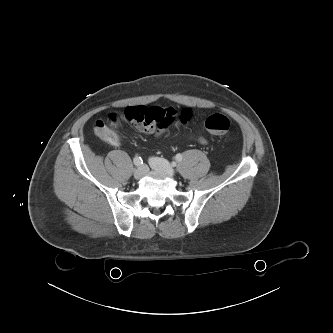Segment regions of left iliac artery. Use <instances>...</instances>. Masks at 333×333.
<instances>
[{"mask_svg":"<svg viewBox=\"0 0 333 333\" xmlns=\"http://www.w3.org/2000/svg\"><path fill=\"white\" fill-rule=\"evenodd\" d=\"M182 159H183V157H182L181 154H177V155L175 156V160H176L177 162H181Z\"/></svg>","mask_w":333,"mask_h":333,"instance_id":"left-iliac-artery-1","label":"left iliac artery"}]
</instances>
